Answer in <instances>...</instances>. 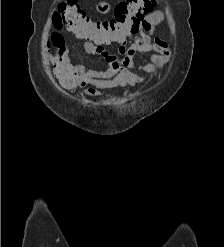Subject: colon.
I'll list each match as a JSON object with an SVG mask.
<instances>
[{
  "label": "colon",
  "mask_w": 224,
  "mask_h": 247,
  "mask_svg": "<svg viewBox=\"0 0 224 247\" xmlns=\"http://www.w3.org/2000/svg\"><path fill=\"white\" fill-rule=\"evenodd\" d=\"M157 0H126L118 3L114 15L108 20H92L82 10L77 0H61L56 10L65 25L77 37L96 42H114L122 37L136 33L145 16L157 6ZM56 77L66 86H76L82 77L77 66L56 61Z\"/></svg>",
  "instance_id": "1"
}]
</instances>
